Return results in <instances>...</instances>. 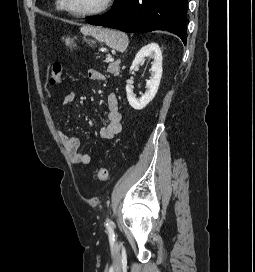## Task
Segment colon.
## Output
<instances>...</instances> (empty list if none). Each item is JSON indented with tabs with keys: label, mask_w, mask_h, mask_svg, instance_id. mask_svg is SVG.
Here are the masks:
<instances>
[{
	"label": "colon",
	"mask_w": 255,
	"mask_h": 272,
	"mask_svg": "<svg viewBox=\"0 0 255 272\" xmlns=\"http://www.w3.org/2000/svg\"><path fill=\"white\" fill-rule=\"evenodd\" d=\"M49 83L51 85H58L62 83V66L60 63H53L49 74ZM97 178L99 181L104 182L108 179V170L101 167L97 171Z\"/></svg>",
	"instance_id": "obj_1"
}]
</instances>
